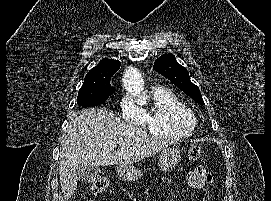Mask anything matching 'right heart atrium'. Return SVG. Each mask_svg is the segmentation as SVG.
Listing matches in <instances>:
<instances>
[{
    "label": "right heart atrium",
    "instance_id": "d8ad5b80",
    "mask_svg": "<svg viewBox=\"0 0 271 201\" xmlns=\"http://www.w3.org/2000/svg\"><path fill=\"white\" fill-rule=\"evenodd\" d=\"M120 107L126 120L138 125L144 123V112L139 108L137 102L132 97L125 96L120 102Z\"/></svg>",
    "mask_w": 271,
    "mask_h": 201
}]
</instances>
